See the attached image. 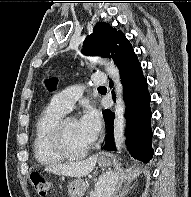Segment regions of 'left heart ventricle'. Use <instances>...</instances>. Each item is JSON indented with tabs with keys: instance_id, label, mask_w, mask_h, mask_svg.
I'll return each mask as SVG.
<instances>
[{
	"instance_id": "obj_1",
	"label": "left heart ventricle",
	"mask_w": 191,
	"mask_h": 197,
	"mask_svg": "<svg viewBox=\"0 0 191 197\" xmlns=\"http://www.w3.org/2000/svg\"><path fill=\"white\" fill-rule=\"evenodd\" d=\"M65 141L68 149L72 152H80L91 145L81 134L77 121L70 119L65 126Z\"/></svg>"
}]
</instances>
